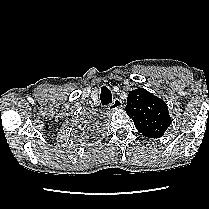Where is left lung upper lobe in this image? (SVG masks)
<instances>
[{
    "label": "left lung upper lobe",
    "instance_id": "5c2ea615",
    "mask_svg": "<svg viewBox=\"0 0 209 209\" xmlns=\"http://www.w3.org/2000/svg\"><path fill=\"white\" fill-rule=\"evenodd\" d=\"M126 112L137 130L148 138H160L171 124L166 103L142 88L129 92Z\"/></svg>",
    "mask_w": 209,
    "mask_h": 209
}]
</instances>
